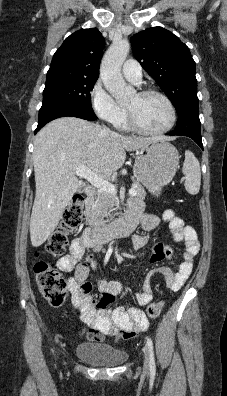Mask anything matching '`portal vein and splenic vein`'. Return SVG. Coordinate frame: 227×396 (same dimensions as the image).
Returning <instances> with one entry per match:
<instances>
[{"label":"portal vein and splenic vein","mask_w":227,"mask_h":396,"mask_svg":"<svg viewBox=\"0 0 227 396\" xmlns=\"http://www.w3.org/2000/svg\"><path fill=\"white\" fill-rule=\"evenodd\" d=\"M75 174L79 177L85 178L87 181H89L93 186L98 188L100 191L107 192L110 194H116L117 189L116 187L111 184L110 182L104 180L103 178L99 177L95 173H93L90 169H88L86 166H79L75 170ZM129 194L131 196H136L137 192L135 189L131 188L129 190Z\"/></svg>","instance_id":"obj_1"}]
</instances>
